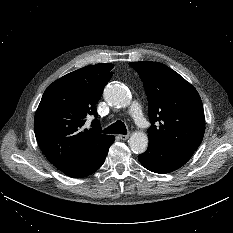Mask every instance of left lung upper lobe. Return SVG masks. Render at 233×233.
<instances>
[{"instance_id": "1", "label": "left lung upper lobe", "mask_w": 233, "mask_h": 233, "mask_svg": "<svg viewBox=\"0 0 233 233\" xmlns=\"http://www.w3.org/2000/svg\"><path fill=\"white\" fill-rule=\"evenodd\" d=\"M143 81L152 126L149 143L195 151L205 131L201 98L177 72L159 62H132ZM157 124V126L155 125Z\"/></svg>"}]
</instances>
